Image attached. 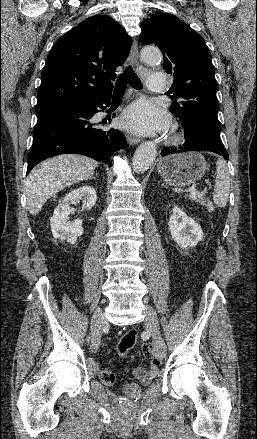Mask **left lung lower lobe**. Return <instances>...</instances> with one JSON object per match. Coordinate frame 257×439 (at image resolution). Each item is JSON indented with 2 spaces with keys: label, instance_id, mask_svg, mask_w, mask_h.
Wrapping results in <instances>:
<instances>
[{
  "label": "left lung lower lobe",
  "instance_id": "0a47b994",
  "mask_svg": "<svg viewBox=\"0 0 257 439\" xmlns=\"http://www.w3.org/2000/svg\"><path fill=\"white\" fill-rule=\"evenodd\" d=\"M185 143L179 148H164L161 155L165 156L176 151H209L228 159V153L221 143L220 133L205 123L195 121L183 123Z\"/></svg>",
  "mask_w": 257,
  "mask_h": 439
}]
</instances>
